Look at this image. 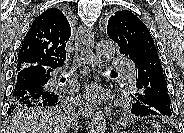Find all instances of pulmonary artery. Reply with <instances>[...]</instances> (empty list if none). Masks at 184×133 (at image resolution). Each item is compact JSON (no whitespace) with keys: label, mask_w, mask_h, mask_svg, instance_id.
<instances>
[{"label":"pulmonary artery","mask_w":184,"mask_h":133,"mask_svg":"<svg viewBox=\"0 0 184 133\" xmlns=\"http://www.w3.org/2000/svg\"><path fill=\"white\" fill-rule=\"evenodd\" d=\"M111 69L125 70L127 72V77L131 82L135 79V70L132 68V63L125 57H113L111 59Z\"/></svg>","instance_id":"obj_1"}]
</instances>
